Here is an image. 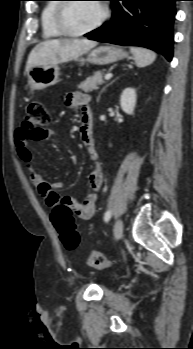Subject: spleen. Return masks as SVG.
<instances>
[{
    "label": "spleen",
    "instance_id": "obj_1",
    "mask_svg": "<svg viewBox=\"0 0 193 349\" xmlns=\"http://www.w3.org/2000/svg\"><path fill=\"white\" fill-rule=\"evenodd\" d=\"M131 52L137 67H146L152 64L156 59V53L151 50L139 47H132Z\"/></svg>",
    "mask_w": 193,
    "mask_h": 349
}]
</instances>
